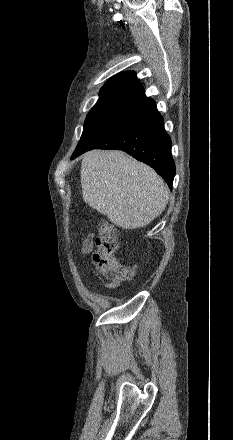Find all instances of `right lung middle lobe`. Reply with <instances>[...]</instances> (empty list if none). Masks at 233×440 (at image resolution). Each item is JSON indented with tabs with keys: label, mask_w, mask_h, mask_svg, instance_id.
<instances>
[{
	"label": "right lung middle lobe",
	"mask_w": 233,
	"mask_h": 440,
	"mask_svg": "<svg viewBox=\"0 0 233 440\" xmlns=\"http://www.w3.org/2000/svg\"><path fill=\"white\" fill-rule=\"evenodd\" d=\"M123 107L124 105L118 103H96L86 117L84 130L80 140L86 138L89 134L98 129Z\"/></svg>",
	"instance_id": "dd1d6c3e"
}]
</instances>
